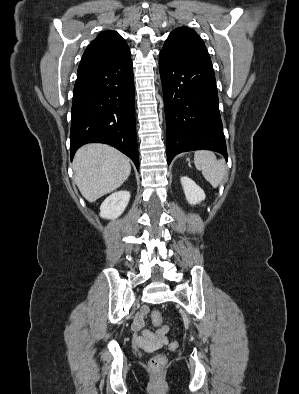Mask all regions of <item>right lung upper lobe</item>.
<instances>
[{
	"mask_svg": "<svg viewBox=\"0 0 299 394\" xmlns=\"http://www.w3.org/2000/svg\"><path fill=\"white\" fill-rule=\"evenodd\" d=\"M130 59V49L115 31L100 33L85 50L78 69Z\"/></svg>",
	"mask_w": 299,
	"mask_h": 394,
	"instance_id": "obj_1",
	"label": "right lung upper lobe"
}]
</instances>
